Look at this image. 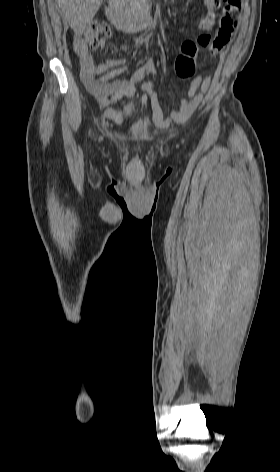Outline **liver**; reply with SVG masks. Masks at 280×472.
Here are the masks:
<instances>
[{"instance_id": "1", "label": "liver", "mask_w": 280, "mask_h": 472, "mask_svg": "<svg viewBox=\"0 0 280 472\" xmlns=\"http://www.w3.org/2000/svg\"><path fill=\"white\" fill-rule=\"evenodd\" d=\"M101 3L102 0H58L59 7L76 34L81 33L93 19Z\"/></svg>"}]
</instances>
